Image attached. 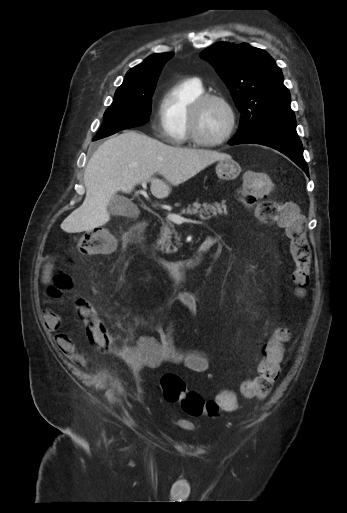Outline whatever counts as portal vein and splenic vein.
Wrapping results in <instances>:
<instances>
[{
	"mask_svg": "<svg viewBox=\"0 0 347 513\" xmlns=\"http://www.w3.org/2000/svg\"><path fill=\"white\" fill-rule=\"evenodd\" d=\"M141 186H142V188L144 189V190L142 191V193H143V194H145V193H146L145 189L147 188V184H146V182H145V181H144V182H142V183H141ZM167 218H168L170 221L174 222L175 224H182L183 222L198 223V224H199V223H200V224H202V223H203V221H196V220L187 219V218H184V217H182V216H180V215H178V214H174V213H168V214H167Z\"/></svg>",
	"mask_w": 347,
	"mask_h": 513,
	"instance_id": "18ae733b",
	"label": "portal vein and splenic vein"
}]
</instances>
